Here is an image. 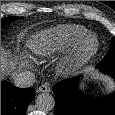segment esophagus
I'll return each mask as SVG.
<instances>
[{
    "label": "esophagus",
    "mask_w": 115,
    "mask_h": 115,
    "mask_svg": "<svg viewBox=\"0 0 115 115\" xmlns=\"http://www.w3.org/2000/svg\"><path fill=\"white\" fill-rule=\"evenodd\" d=\"M50 86L49 84H42L39 88H38V92H44V93H48L50 92Z\"/></svg>",
    "instance_id": "1"
}]
</instances>
